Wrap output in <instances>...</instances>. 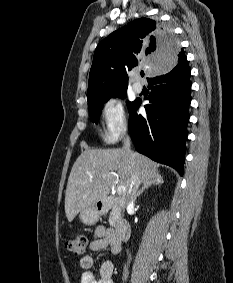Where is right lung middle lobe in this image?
I'll return each mask as SVG.
<instances>
[{
    "instance_id": "dd1d6c3e",
    "label": "right lung middle lobe",
    "mask_w": 233,
    "mask_h": 283,
    "mask_svg": "<svg viewBox=\"0 0 233 283\" xmlns=\"http://www.w3.org/2000/svg\"><path fill=\"white\" fill-rule=\"evenodd\" d=\"M111 97H120V98H125L126 97V91H122L119 92L117 94L112 95ZM111 97H109L108 99H106L105 101L92 105V106H88L89 107V114H90V118L92 122H97L99 120L100 117V113H101V109L104 105L105 102H107ZM135 104L134 102H128V109L129 111L131 110V108L133 107V105Z\"/></svg>"
}]
</instances>
